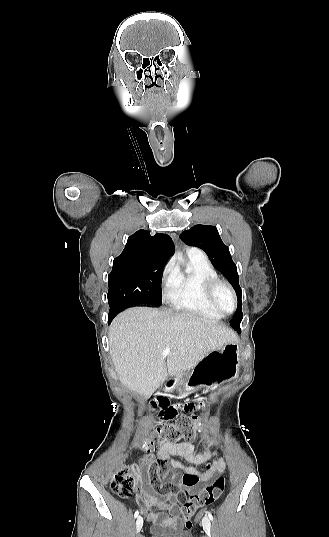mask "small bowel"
<instances>
[{
  "label": "small bowel",
  "instance_id": "obj_1",
  "mask_svg": "<svg viewBox=\"0 0 329 537\" xmlns=\"http://www.w3.org/2000/svg\"><path fill=\"white\" fill-rule=\"evenodd\" d=\"M201 395L192 399H185L184 403H165L163 408H158L157 420L162 423H170L175 420L177 414H193L201 402ZM204 408V405H200ZM214 450H206L196 453L188 442L164 443L157 454L156 468L153 476H161L160 485L154 488L151 480L146 474V468L154 460L145 457L141 461V466H133L137 482L140 488L136 495V502L143 514L153 524L152 532L165 530L177 531L183 528V521L180 518V507L188 501V494L194 493L201 485L209 483L218 474L223 473L226 462L223 458L207 463L206 468L199 472L193 466H185L174 457L183 458L189 463L200 464L211 458ZM170 485L174 489L167 490ZM153 507H158L162 512H152ZM167 513V514H166Z\"/></svg>",
  "mask_w": 329,
  "mask_h": 537
}]
</instances>
